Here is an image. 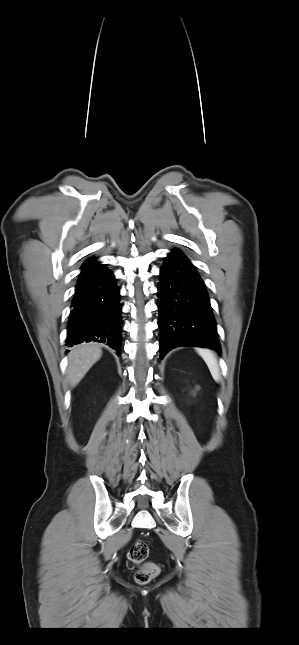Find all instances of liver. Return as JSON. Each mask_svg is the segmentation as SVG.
I'll list each match as a JSON object with an SVG mask.
<instances>
[{"label": "liver", "instance_id": "liver-1", "mask_svg": "<svg viewBox=\"0 0 299 645\" xmlns=\"http://www.w3.org/2000/svg\"><path fill=\"white\" fill-rule=\"evenodd\" d=\"M101 355L100 346L94 343L80 344L71 349L67 367V379L71 387L77 386Z\"/></svg>", "mask_w": 299, "mask_h": 645}]
</instances>
